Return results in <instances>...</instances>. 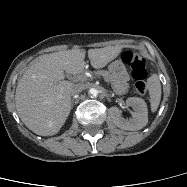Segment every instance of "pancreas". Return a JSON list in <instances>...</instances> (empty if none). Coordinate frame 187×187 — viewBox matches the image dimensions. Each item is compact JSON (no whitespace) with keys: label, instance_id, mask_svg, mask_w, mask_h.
<instances>
[{"label":"pancreas","instance_id":"pancreas-1","mask_svg":"<svg viewBox=\"0 0 187 187\" xmlns=\"http://www.w3.org/2000/svg\"><path fill=\"white\" fill-rule=\"evenodd\" d=\"M97 74L103 76L111 82L112 88L117 95H123L128 91L129 86L127 83L113 78L107 71H98Z\"/></svg>","mask_w":187,"mask_h":187}]
</instances>
